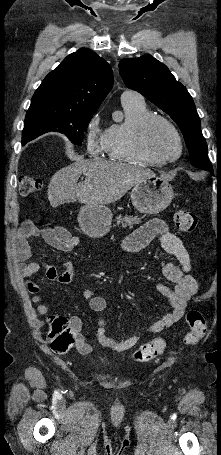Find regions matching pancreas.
Returning a JSON list of instances; mask_svg holds the SVG:
<instances>
[{
    "mask_svg": "<svg viewBox=\"0 0 221 455\" xmlns=\"http://www.w3.org/2000/svg\"><path fill=\"white\" fill-rule=\"evenodd\" d=\"M142 218L143 217H140L138 215H136V216L118 215L116 217V221H117L116 224L117 225L121 224L123 228H126V227L133 228L134 225L141 223Z\"/></svg>",
    "mask_w": 221,
    "mask_h": 455,
    "instance_id": "1",
    "label": "pancreas"
}]
</instances>
